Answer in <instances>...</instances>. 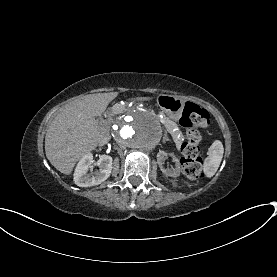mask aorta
I'll return each instance as SVG.
<instances>
[{
    "mask_svg": "<svg viewBox=\"0 0 277 277\" xmlns=\"http://www.w3.org/2000/svg\"><path fill=\"white\" fill-rule=\"evenodd\" d=\"M112 136L122 148L149 151L161 139L162 127L150 112L134 110L116 120Z\"/></svg>",
    "mask_w": 277,
    "mask_h": 277,
    "instance_id": "obj_1",
    "label": "aorta"
}]
</instances>
